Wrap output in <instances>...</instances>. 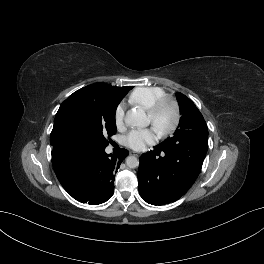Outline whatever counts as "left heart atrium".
I'll return each mask as SVG.
<instances>
[{"label": "left heart atrium", "instance_id": "obj_1", "mask_svg": "<svg viewBox=\"0 0 264 264\" xmlns=\"http://www.w3.org/2000/svg\"><path fill=\"white\" fill-rule=\"evenodd\" d=\"M157 139V131L154 128L133 129L125 139L126 146L134 150H143L147 145L153 144Z\"/></svg>", "mask_w": 264, "mask_h": 264}]
</instances>
